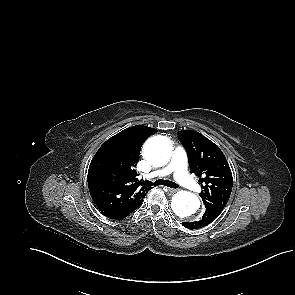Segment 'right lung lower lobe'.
I'll list each match as a JSON object with an SVG mask.
<instances>
[{
  "label": "right lung lower lobe",
  "instance_id": "1",
  "mask_svg": "<svg viewBox=\"0 0 295 295\" xmlns=\"http://www.w3.org/2000/svg\"><path fill=\"white\" fill-rule=\"evenodd\" d=\"M138 208V207H136ZM136 208L132 209V210H129V211H126V212H122V213H116V214H107V213H104L103 214L105 216H107L108 218H111V219H114V220H119V219H123L125 217H127L130 213H132Z\"/></svg>",
  "mask_w": 295,
  "mask_h": 295
}]
</instances>
